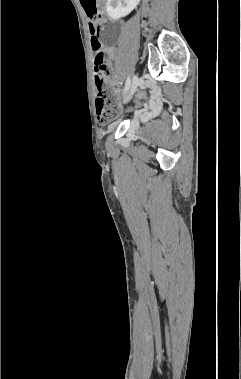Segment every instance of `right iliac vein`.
Wrapping results in <instances>:
<instances>
[{
    "instance_id": "1",
    "label": "right iliac vein",
    "mask_w": 241,
    "mask_h": 379,
    "mask_svg": "<svg viewBox=\"0 0 241 379\" xmlns=\"http://www.w3.org/2000/svg\"><path fill=\"white\" fill-rule=\"evenodd\" d=\"M137 86H138V78L134 76L129 89L124 96V99H123L124 103H128L132 99L134 93L136 92Z\"/></svg>"
}]
</instances>
